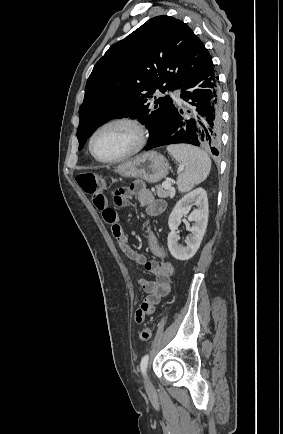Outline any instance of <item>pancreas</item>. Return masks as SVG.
Instances as JSON below:
<instances>
[{
    "label": "pancreas",
    "instance_id": "obj_1",
    "mask_svg": "<svg viewBox=\"0 0 283 434\" xmlns=\"http://www.w3.org/2000/svg\"><path fill=\"white\" fill-rule=\"evenodd\" d=\"M156 193L160 198H167L173 192L172 189H166L162 185L155 186Z\"/></svg>",
    "mask_w": 283,
    "mask_h": 434
}]
</instances>
